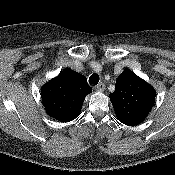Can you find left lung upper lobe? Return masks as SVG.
<instances>
[{"instance_id": "obj_1", "label": "left lung upper lobe", "mask_w": 175, "mask_h": 175, "mask_svg": "<svg viewBox=\"0 0 175 175\" xmlns=\"http://www.w3.org/2000/svg\"><path fill=\"white\" fill-rule=\"evenodd\" d=\"M115 87L109 97L117 119L130 126L144 121L155 102L154 88L129 69L118 76Z\"/></svg>"}]
</instances>
